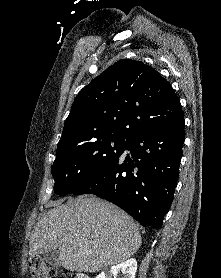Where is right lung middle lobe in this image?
Returning <instances> with one entry per match:
<instances>
[{
  "label": "right lung middle lobe",
  "instance_id": "obj_1",
  "mask_svg": "<svg viewBox=\"0 0 221 278\" xmlns=\"http://www.w3.org/2000/svg\"><path fill=\"white\" fill-rule=\"evenodd\" d=\"M126 144V138L104 136L57 152L52 166L55 193H73L119 158Z\"/></svg>",
  "mask_w": 221,
  "mask_h": 278
}]
</instances>
